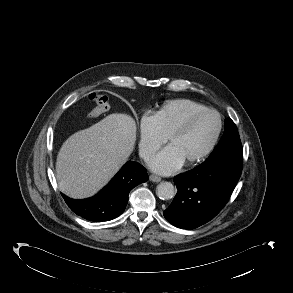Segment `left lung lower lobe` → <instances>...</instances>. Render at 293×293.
I'll return each mask as SVG.
<instances>
[{
    "mask_svg": "<svg viewBox=\"0 0 293 293\" xmlns=\"http://www.w3.org/2000/svg\"><path fill=\"white\" fill-rule=\"evenodd\" d=\"M242 146L222 151L211 164L202 163L177 175L178 192L164 217L176 227L194 229L214 218L229 200L242 172Z\"/></svg>",
    "mask_w": 293,
    "mask_h": 293,
    "instance_id": "0a47b994",
    "label": "left lung lower lobe"
}]
</instances>
